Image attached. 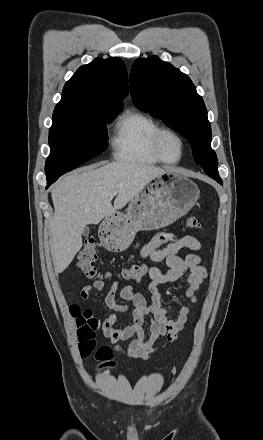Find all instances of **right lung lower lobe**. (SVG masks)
Here are the masks:
<instances>
[{"label":"right lung lower lobe","mask_w":263,"mask_h":440,"mask_svg":"<svg viewBox=\"0 0 263 440\" xmlns=\"http://www.w3.org/2000/svg\"><path fill=\"white\" fill-rule=\"evenodd\" d=\"M56 180L55 179H53V180H48V185H47V187L46 188H48L53 182H55Z\"/></svg>","instance_id":"1"}]
</instances>
